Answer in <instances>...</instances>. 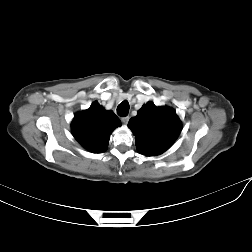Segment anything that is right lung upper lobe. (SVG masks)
Instances as JSON below:
<instances>
[{
  "label": "right lung upper lobe",
  "mask_w": 252,
  "mask_h": 252,
  "mask_svg": "<svg viewBox=\"0 0 252 252\" xmlns=\"http://www.w3.org/2000/svg\"><path fill=\"white\" fill-rule=\"evenodd\" d=\"M119 126L121 122L114 112L105 110L97 101L76 113L71 124L72 135L92 153L104 152L111 133Z\"/></svg>",
  "instance_id": "obj_1"
}]
</instances>
